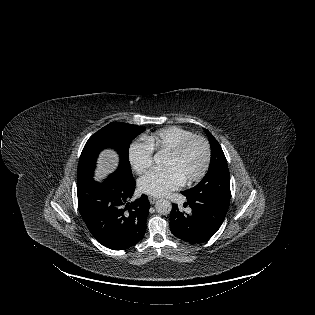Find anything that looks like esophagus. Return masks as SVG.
Masks as SVG:
<instances>
[{
	"mask_svg": "<svg viewBox=\"0 0 315 315\" xmlns=\"http://www.w3.org/2000/svg\"><path fill=\"white\" fill-rule=\"evenodd\" d=\"M156 201H157V198L151 197V196L149 197L150 204H154Z\"/></svg>",
	"mask_w": 315,
	"mask_h": 315,
	"instance_id": "1",
	"label": "esophagus"
}]
</instances>
